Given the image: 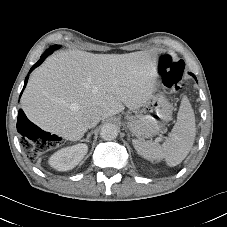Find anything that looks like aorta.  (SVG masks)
<instances>
[{"mask_svg": "<svg viewBox=\"0 0 227 227\" xmlns=\"http://www.w3.org/2000/svg\"><path fill=\"white\" fill-rule=\"evenodd\" d=\"M100 136L103 140L111 141L118 136V128L114 124H105L102 126Z\"/></svg>", "mask_w": 227, "mask_h": 227, "instance_id": "1", "label": "aorta"}]
</instances>
